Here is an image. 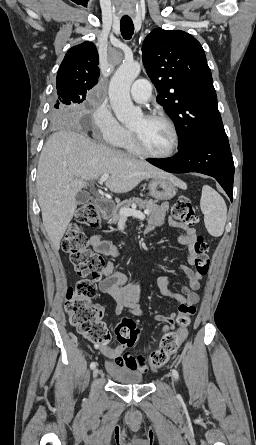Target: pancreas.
Wrapping results in <instances>:
<instances>
[{
	"label": "pancreas",
	"instance_id": "cf45deb5",
	"mask_svg": "<svg viewBox=\"0 0 256 445\" xmlns=\"http://www.w3.org/2000/svg\"><path fill=\"white\" fill-rule=\"evenodd\" d=\"M132 204H136L139 206L140 209H145L148 212V214H155L159 211V207L156 204V201L153 200H142L140 198H130L128 200H124L120 203H118L111 211V213L108 216L109 224L117 223L120 219V210L121 209H128Z\"/></svg>",
	"mask_w": 256,
	"mask_h": 445
}]
</instances>
